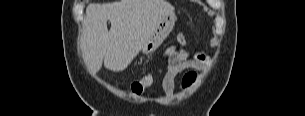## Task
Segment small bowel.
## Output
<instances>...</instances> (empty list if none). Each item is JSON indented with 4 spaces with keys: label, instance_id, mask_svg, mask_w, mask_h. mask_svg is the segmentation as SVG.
Listing matches in <instances>:
<instances>
[{
    "label": "small bowel",
    "instance_id": "small-bowel-1",
    "mask_svg": "<svg viewBox=\"0 0 305 116\" xmlns=\"http://www.w3.org/2000/svg\"><path fill=\"white\" fill-rule=\"evenodd\" d=\"M166 55L169 64L162 80V89L167 97H173L175 90V79L177 76L187 70H193L192 78L183 77L181 87L183 90L188 89L197 78L195 71L203 69L207 64V56L203 53L189 54L183 47H171L167 50Z\"/></svg>",
    "mask_w": 305,
    "mask_h": 116
}]
</instances>
